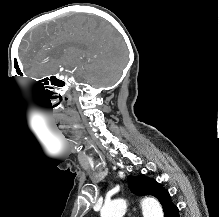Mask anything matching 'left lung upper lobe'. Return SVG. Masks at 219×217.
Instances as JSON below:
<instances>
[{"label":"left lung upper lobe","mask_w":219,"mask_h":217,"mask_svg":"<svg viewBox=\"0 0 219 217\" xmlns=\"http://www.w3.org/2000/svg\"><path fill=\"white\" fill-rule=\"evenodd\" d=\"M128 184L131 192L136 195H152L156 197L163 206L164 212L172 204L168 191L153 179L144 175L129 176Z\"/></svg>","instance_id":"obj_1"}]
</instances>
